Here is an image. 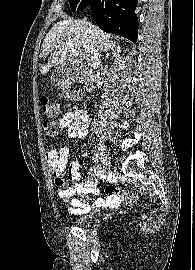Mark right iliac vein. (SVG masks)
I'll return each instance as SVG.
<instances>
[{
    "instance_id": "1",
    "label": "right iliac vein",
    "mask_w": 195,
    "mask_h": 270,
    "mask_svg": "<svg viewBox=\"0 0 195 270\" xmlns=\"http://www.w3.org/2000/svg\"><path fill=\"white\" fill-rule=\"evenodd\" d=\"M99 155H100L101 162H102L101 169L104 172L105 169L108 168L110 162H109V156H108L106 147L101 142L99 143Z\"/></svg>"
}]
</instances>
